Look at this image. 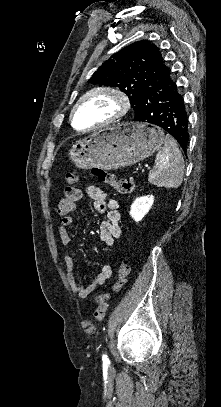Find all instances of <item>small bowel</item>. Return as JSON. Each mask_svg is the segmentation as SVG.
I'll use <instances>...</instances> for the list:
<instances>
[{
  "label": "small bowel",
  "mask_w": 221,
  "mask_h": 407,
  "mask_svg": "<svg viewBox=\"0 0 221 407\" xmlns=\"http://www.w3.org/2000/svg\"><path fill=\"white\" fill-rule=\"evenodd\" d=\"M87 195L93 202L94 209L106 214V219L101 222L99 228V238L106 245H113L121 235V230L118 225L120 220L119 202L116 199L109 198L107 194L98 186H88L86 189ZM73 224L71 217L61 218V224L58 228L59 238L64 247L71 246L72 238L69 234L68 227ZM65 270L68 282L73 293L78 298H86L94 292L100 285H103L112 275V269L108 264H104L96 278L88 285L84 286L79 283L75 276L74 259L70 254L64 256ZM83 327L86 324L83 323Z\"/></svg>",
  "instance_id": "c3829d8e"
}]
</instances>
